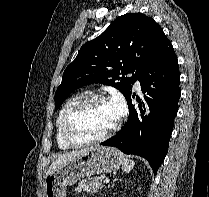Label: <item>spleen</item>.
Returning <instances> with one entry per match:
<instances>
[{"mask_svg":"<svg viewBox=\"0 0 209 197\" xmlns=\"http://www.w3.org/2000/svg\"><path fill=\"white\" fill-rule=\"evenodd\" d=\"M121 156V159H122V169L125 173H129L134 165H135V162L133 160H128L123 154L120 155Z\"/></svg>","mask_w":209,"mask_h":197,"instance_id":"3e777b00","label":"spleen"}]
</instances>
